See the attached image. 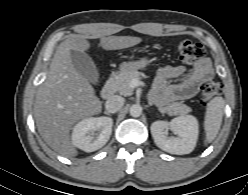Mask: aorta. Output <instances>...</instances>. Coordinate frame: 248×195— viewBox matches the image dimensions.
Segmentation results:
<instances>
[{"mask_svg":"<svg viewBox=\"0 0 248 195\" xmlns=\"http://www.w3.org/2000/svg\"><path fill=\"white\" fill-rule=\"evenodd\" d=\"M129 112L132 117H139L142 114V107L139 104H133Z\"/></svg>","mask_w":248,"mask_h":195,"instance_id":"aorta-1","label":"aorta"}]
</instances>
